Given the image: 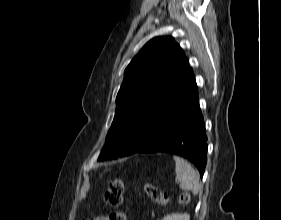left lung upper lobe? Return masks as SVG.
Here are the masks:
<instances>
[{
  "label": "left lung upper lobe",
  "mask_w": 281,
  "mask_h": 220,
  "mask_svg": "<svg viewBox=\"0 0 281 220\" xmlns=\"http://www.w3.org/2000/svg\"><path fill=\"white\" fill-rule=\"evenodd\" d=\"M193 77L187 57L172 37L149 41L125 69L99 160L130 155L147 144Z\"/></svg>",
  "instance_id": "5c2ea615"
}]
</instances>
